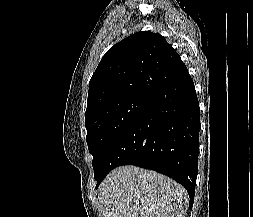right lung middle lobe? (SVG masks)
<instances>
[{
  "label": "right lung middle lobe",
  "mask_w": 253,
  "mask_h": 217,
  "mask_svg": "<svg viewBox=\"0 0 253 217\" xmlns=\"http://www.w3.org/2000/svg\"><path fill=\"white\" fill-rule=\"evenodd\" d=\"M148 98L128 97L111 103L85 119L86 141L93 156L94 178L105 173L106 160L116 142L148 102Z\"/></svg>",
  "instance_id": "1"
}]
</instances>
